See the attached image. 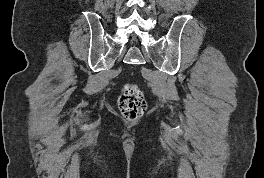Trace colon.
<instances>
[{"label": "colon", "mask_w": 264, "mask_h": 178, "mask_svg": "<svg viewBox=\"0 0 264 178\" xmlns=\"http://www.w3.org/2000/svg\"><path fill=\"white\" fill-rule=\"evenodd\" d=\"M118 106L127 119L134 120L144 114L147 104L139 87L135 84H127L118 99Z\"/></svg>", "instance_id": "1"}]
</instances>
